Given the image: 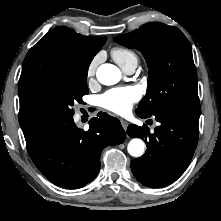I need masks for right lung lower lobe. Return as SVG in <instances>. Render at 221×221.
I'll return each instance as SVG.
<instances>
[{
	"label": "right lung lower lobe",
	"instance_id": "right-lung-lower-lobe-1",
	"mask_svg": "<svg viewBox=\"0 0 221 221\" xmlns=\"http://www.w3.org/2000/svg\"><path fill=\"white\" fill-rule=\"evenodd\" d=\"M73 115H55L21 125L27 151L38 170L52 183L76 189L91 182L100 169V154L107 145L124 142L120 121L100 112L84 131Z\"/></svg>",
	"mask_w": 221,
	"mask_h": 221
}]
</instances>
